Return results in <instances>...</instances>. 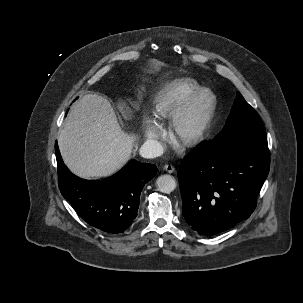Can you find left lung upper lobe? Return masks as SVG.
<instances>
[{"label":"left lung upper lobe","instance_id":"left-lung-upper-lobe-1","mask_svg":"<svg viewBox=\"0 0 303 303\" xmlns=\"http://www.w3.org/2000/svg\"><path fill=\"white\" fill-rule=\"evenodd\" d=\"M236 142L251 149L269 153L267 136L261 118L238 92L222 131L212 144Z\"/></svg>","mask_w":303,"mask_h":303}]
</instances>
